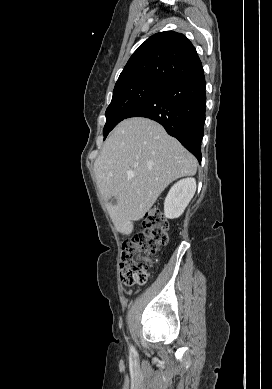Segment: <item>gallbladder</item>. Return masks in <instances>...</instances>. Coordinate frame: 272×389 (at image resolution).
Listing matches in <instances>:
<instances>
[{
    "mask_svg": "<svg viewBox=\"0 0 272 389\" xmlns=\"http://www.w3.org/2000/svg\"><path fill=\"white\" fill-rule=\"evenodd\" d=\"M111 203H112L113 205H116L117 199H116L115 197H113V198L111 199Z\"/></svg>",
    "mask_w": 272,
    "mask_h": 389,
    "instance_id": "bac80fb5",
    "label": "gallbladder"
}]
</instances>
